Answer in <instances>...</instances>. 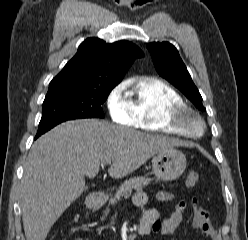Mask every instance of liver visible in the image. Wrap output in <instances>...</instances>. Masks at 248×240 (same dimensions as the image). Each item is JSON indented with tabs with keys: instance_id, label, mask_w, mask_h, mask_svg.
I'll return each mask as SVG.
<instances>
[{
	"instance_id": "6515ba94",
	"label": "liver",
	"mask_w": 248,
	"mask_h": 240,
	"mask_svg": "<svg viewBox=\"0 0 248 240\" xmlns=\"http://www.w3.org/2000/svg\"><path fill=\"white\" fill-rule=\"evenodd\" d=\"M186 145L96 119L62 123L33 144L21 183L22 220L27 240H45L62 213L84 191L103 161L114 179L137 170L160 152Z\"/></svg>"
}]
</instances>
